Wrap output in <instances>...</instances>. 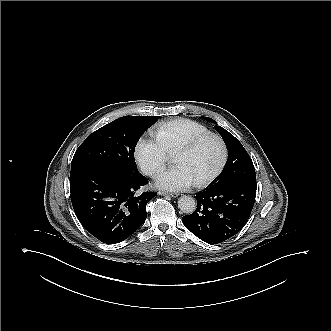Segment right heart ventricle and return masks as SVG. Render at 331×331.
<instances>
[{
  "instance_id": "right-heart-ventricle-1",
  "label": "right heart ventricle",
  "mask_w": 331,
  "mask_h": 331,
  "mask_svg": "<svg viewBox=\"0 0 331 331\" xmlns=\"http://www.w3.org/2000/svg\"><path fill=\"white\" fill-rule=\"evenodd\" d=\"M208 133L205 126L185 118L165 122L158 131V142L170 153L176 152L190 140Z\"/></svg>"
}]
</instances>
